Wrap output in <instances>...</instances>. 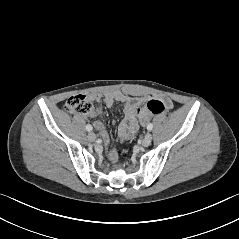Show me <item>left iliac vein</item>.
Segmentation results:
<instances>
[{"label": "left iliac vein", "instance_id": "4c4485c4", "mask_svg": "<svg viewBox=\"0 0 239 239\" xmlns=\"http://www.w3.org/2000/svg\"><path fill=\"white\" fill-rule=\"evenodd\" d=\"M152 141V135L150 133H147L142 140V146L147 147L151 144Z\"/></svg>", "mask_w": 239, "mask_h": 239}]
</instances>
